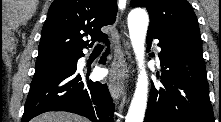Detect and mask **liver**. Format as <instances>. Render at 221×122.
Returning a JSON list of instances; mask_svg holds the SVG:
<instances>
[{"label": "liver", "mask_w": 221, "mask_h": 122, "mask_svg": "<svg viewBox=\"0 0 221 122\" xmlns=\"http://www.w3.org/2000/svg\"><path fill=\"white\" fill-rule=\"evenodd\" d=\"M31 122H87V119L68 112H47L35 117Z\"/></svg>", "instance_id": "obj_1"}]
</instances>
